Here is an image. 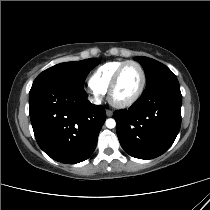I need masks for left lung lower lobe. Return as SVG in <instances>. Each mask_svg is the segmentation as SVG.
<instances>
[{
    "instance_id": "obj_1",
    "label": "left lung lower lobe",
    "mask_w": 210,
    "mask_h": 210,
    "mask_svg": "<svg viewBox=\"0 0 210 210\" xmlns=\"http://www.w3.org/2000/svg\"><path fill=\"white\" fill-rule=\"evenodd\" d=\"M182 95L174 74L147 84L129 108L114 112L119 142L126 153L152 159L173 144L181 125Z\"/></svg>"
}]
</instances>
